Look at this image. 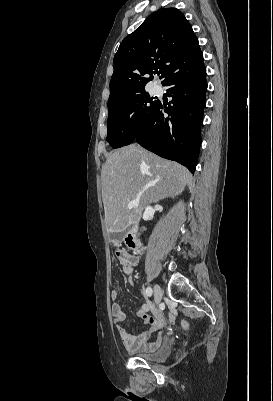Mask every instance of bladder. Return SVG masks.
I'll return each instance as SVG.
<instances>
[{"label":"bladder","instance_id":"31cf9c89","mask_svg":"<svg viewBox=\"0 0 273 401\" xmlns=\"http://www.w3.org/2000/svg\"><path fill=\"white\" fill-rule=\"evenodd\" d=\"M173 352V342L169 338L162 339L160 348L155 353H142L136 357L148 362H158L167 359Z\"/></svg>","mask_w":273,"mask_h":401}]
</instances>
